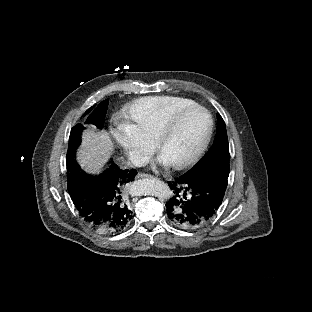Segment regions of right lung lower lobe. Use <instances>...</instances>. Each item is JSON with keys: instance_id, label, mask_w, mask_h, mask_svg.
Masks as SVG:
<instances>
[{"instance_id": "right-lung-lower-lobe-1", "label": "right lung lower lobe", "mask_w": 312, "mask_h": 312, "mask_svg": "<svg viewBox=\"0 0 312 312\" xmlns=\"http://www.w3.org/2000/svg\"><path fill=\"white\" fill-rule=\"evenodd\" d=\"M73 163L67 171L68 191L81 218L102 234L123 232L133 217L126 188L137 171L121 170L111 161L102 173L90 175Z\"/></svg>"}]
</instances>
